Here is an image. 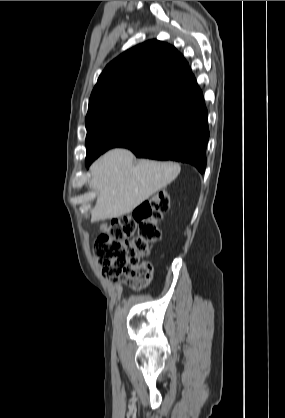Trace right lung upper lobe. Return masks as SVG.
Listing matches in <instances>:
<instances>
[{
	"label": "right lung upper lobe",
	"mask_w": 285,
	"mask_h": 418,
	"mask_svg": "<svg viewBox=\"0 0 285 418\" xmlns=\"http://www.w3.org/2000/svg\"><path fill=\"white\" fill-rule=\"evenodd\" d=\"M200 92L183 55L170 44L149 40L106 66L92 91L87 115L133 100L172 108Z\"/></svg>",
	"instance_id": "1"
}]
</instances>
